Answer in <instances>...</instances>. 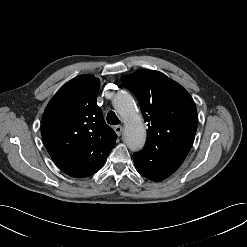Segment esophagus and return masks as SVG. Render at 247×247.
Listing matches in <instances>:
<instances>
[{
	"label": "esophagus",
	"instance_id": "1",
	"mask_svg": "<svg viewBox=\"0 0 247 247\" xmlns=\"http://www.w3.org/2000/svg\"><path fill=\"white\" fill-rule=\"evenodd\" d=\"M114 131L116 132V134L118 136H120L122 131H123V127L121 125H117V126L114 127Z\"/></svg>",
	"mask_w": 247,
	"mask_h": 247
}]
</instances>
